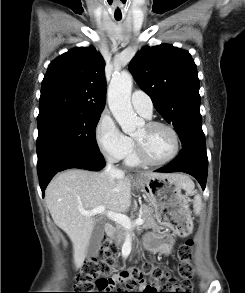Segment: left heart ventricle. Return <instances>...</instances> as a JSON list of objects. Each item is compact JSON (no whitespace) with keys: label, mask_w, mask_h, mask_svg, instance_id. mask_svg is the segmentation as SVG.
Listing matches in <instances>:
<instances>
[{"label":"left heart ventricle","mask_w":245,"mask_h":293,"mask_svg":"<svg viewBox=\"0 0 245 293\" xmlns=\"http://www.w3.org/2000/svg\"><path fill=\"white\" fill-rule=\"evenodd\" d=\"M144 154L151 160L159 161L167 158L173 151V137L162 127H140L134 134Z\"/></svg>","instance_id":"left-heart-ventricle-1"}]
</instances>
